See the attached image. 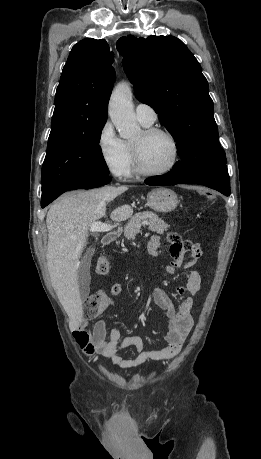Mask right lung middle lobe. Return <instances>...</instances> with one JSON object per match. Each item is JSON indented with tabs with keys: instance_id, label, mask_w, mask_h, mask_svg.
Here are the masks:
<instances>
[{
	"instance_id": "obj_1",
	"label": "right lung middle lobe",
	"mask_w": 261,
	"mask_h": 459,
	"mask_svg": "<svg viewBox=\"0 0 261 459\" xmlns=\"http://www.w3.org/2000/svg\"><path fill=\"white\" fill-rule=\"evenodd\" d=\"M104 125L105 122L87 130L49 136L42 166V198L72 180L109 175L99 147Z\"/></svg>"
}]
</instances>
